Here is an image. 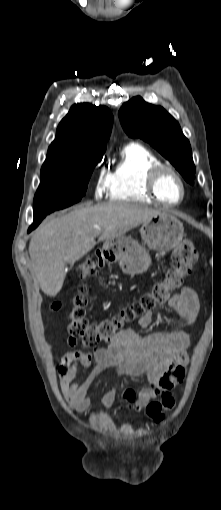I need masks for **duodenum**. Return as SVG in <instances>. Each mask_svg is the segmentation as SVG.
Here are the masks:
<instances>
[{
	"label": "duodenum",
	"mask_w": 221,
	"mask_h": 510,
	"mask_svg": "<svg viewBox=\"0 0 221 510\" xmlns=\"http://www.w3.org/2000/svg\"><path fill=\"white\" fill-rule=\"evenodd\" d=\"M98 255H99V257H101V255H102V252H101V251H99V252H98Z\"/></svg>",
	"instance_id": "410a0bca"
}]
</instances>
